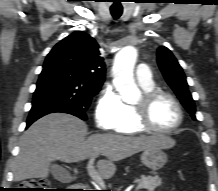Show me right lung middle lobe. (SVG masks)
<instances>
[{
  "instance_id": "1",
  "label": "right lung middle lobe",
  "mask_w": 218,
  "mask_h": 191,
  "mask_svg": "<svg viewBox=\"0 0 218 191\" xmlns=\"http://www.w3.org/2000/svg\"><path fill=\"white\" fill-rule=\"evenodd\" d=\"M100 88L64 67L44 63L32 104L53 100L85 112Z\"/></svg>"
}]
</instances>
